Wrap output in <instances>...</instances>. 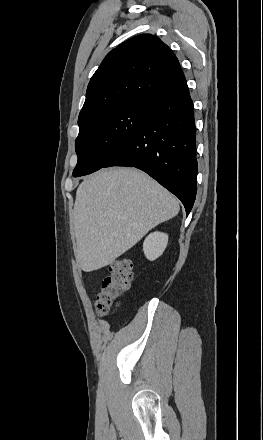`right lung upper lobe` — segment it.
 Wrapping results in <instances>:
<instances>
[{
	"instance_id": "obj_1",
	"label": "right lung upper lobe",
	"mask_w": 263,
	"mask_h": 440,
	"mask_svg": "<svg viewBox=\"0 0 263 440\" xmlns=\"http://www.w3.org/2000/svg\"><path fill=\"white\" fill-rule=\"evenodd\" d=\"M185 82L166 44L151 34L133 37L109 52L92 76L78 124L123 104H150Z\"/></svg>"
}]
</instances>
